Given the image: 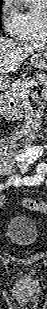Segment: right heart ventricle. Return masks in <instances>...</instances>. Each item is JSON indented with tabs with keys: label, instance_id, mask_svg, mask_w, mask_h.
Segmentation results:
<instances>
[{
	"label": "right heart ventricle",
	"instance_id": "right-heart-ventricle-1",
	"mask_svg": "<svg viewBox=\"0 0 47 309\" xmlns=\"http://www.w3.org/2000/svg\"><path fill=\"white\" fill-rule=\"evenodd\" d=\"M47 0H36L38 6H34L21 16V28L17 39L31 45H42L46 42L44 14Z\"/></svg>",
	"mask_w": 47,
	"mask_h": 309
}]
</instances>
